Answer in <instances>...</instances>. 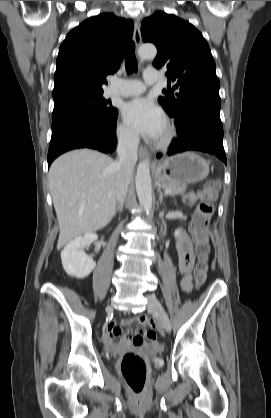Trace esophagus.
Wrapping results in <instances>:
<instances>
[{"instance_id": "34e87169", "label": "esophagus", "mask_w": 271, "mask_h": 418, "mask_svg": "<svg viewBox=\"0 0 271 418\" xmlns=\"http://www.w3.org/2000/svg\"><path fill=\"white\" fill-rule=\"evenodd\" d=\"M134 42H135L136 48H138L140 43H141L140 24H139L138 20H135V22H134ZM139 156H140V158L148 157V152H147V149L145 147H140Z\"/></svg>"}]
</instances>
